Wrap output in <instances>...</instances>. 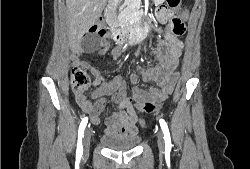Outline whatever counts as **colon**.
<instances>
[{
    "label": "colon",
    "mask_w": 250,
    "mask_h": 169,
    "mask_svg": "<svg viewBox=\"0 0 250 169\" xmlns=\"http://www.w3.org/2000/svg\"><path fill=\"white\" fill-rule=\"evenodd\" d=\"M181 0H168L169 9L179 8ZM184 30V24L180 20L173 22V31L181 33ZM106 35V27L100 24H94L89 28L87 44L95 46L96 41ZM70 85L75 94H85L88 90L90 78L88 74L79 66H74L70 72ZM158 95H167V93H158ZM165 97H151L148 103H136V108H162ZM144 114H153V109H144ZM139 124L145 126L144 119H139Z\"/></svg>",
    "instance_id": "obj_1"
}]
</instances>
